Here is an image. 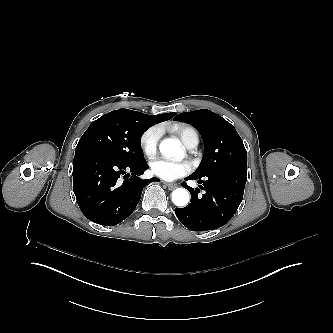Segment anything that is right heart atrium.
<instances>
[{"label":"right heart atrium","mask_w":333,"mask_h":333,"mask_svg":"<svg viewBox=\"0 0 333 333\" xmlns=\"http://www.w3.org/2000/svg\"><path fill=\"white\" fill-rule=\"evenodd\" d=\"M158 143L159 133L156 130L150 129L145 132L140 140V145L145 156L153 159L157 155Z\"/></svg>","instance_id":"1"}]
</instances>
